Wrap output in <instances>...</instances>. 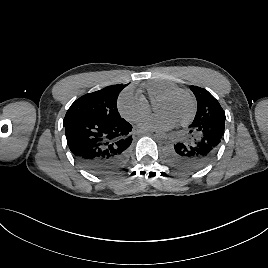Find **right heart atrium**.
Masks as SVG:
<instances>
[{
    "label": "right heart atrium",
    "instance_id": "obj_1",
    "mask_svg": "<svg viewBox=\"0 0 268 268\" xmlns=\"http://www.w3.org/2000/svg\"><path fill=\"white\" fill-rule=\"evenodd\" d=\"M117 108L120 114L129 121L143 120L150 114L149 104L130 89L121 92L117 100Z\"/></svg>",
    "mask_w": 268,
    "mask_h": 268
}]
</instances>
